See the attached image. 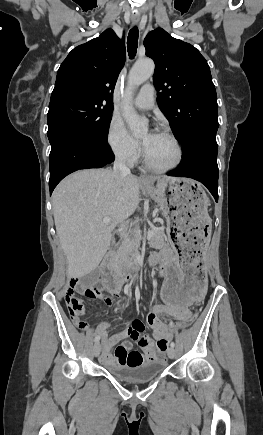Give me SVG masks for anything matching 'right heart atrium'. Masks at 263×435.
<instances>
[{"label": "right heart atrium", "instance_id": "right-heart-atrium-1", "mask_svg": "<svg viewBox=\"0 0 263 435\" xmlns=\"http://www.w3.org/2000/svg\"><path fill=\"white\" fill-rule=\"evenodd\" d=\"M106 142L114 156L125 163H134L141 154V147L127 131L124 123L113 117L106 132Z\"/></svg>", "mask_w": 263, "mask_h": 435}]
</instances>
